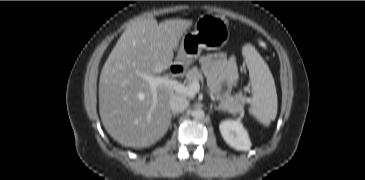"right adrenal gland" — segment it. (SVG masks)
Listing matches in <instances>:
<instances>
[{
	"instance_id": "obj_1",
	"label": "right adrenal gland",
	"mask_w": 365,
	"mask_h": 180,
	"mask_svg": "<svg viewBox=\"0 0 365 180\" xmlns=\"http://www.w3.org/2000/svg\"><path fill=\"white\" fill-rule=\"evenodd\" d=\"M176 115H177V113H172V114H171V117L175 118V117H176Z\"/></svg>"
}]
</instances>
